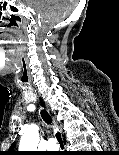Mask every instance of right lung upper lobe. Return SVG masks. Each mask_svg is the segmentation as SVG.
I'll return each mask as SVG.
<instances>
[{
  "label": "right lung upper lobe",
  "mask_w": 119,
  "mask_h": 155,
  "mask_svg": "<svg viewBox=\"0 0 119 155\" xmlns=\"http://www.w3.org/2000/svg\"><path fill=\"white\" fill-rule=\"evenodd\" d=\"M14 146H15V143H12V145L10 146L8 150V155H18V152L14 151Z\"/></svg>",
  "instance_id": "obj_1"
}]
</instances>
